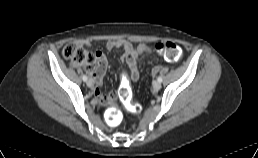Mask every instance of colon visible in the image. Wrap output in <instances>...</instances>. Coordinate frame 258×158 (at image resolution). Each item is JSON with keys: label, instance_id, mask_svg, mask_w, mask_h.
Returning a JSON list of instances; mask_svg holds the SVG:
<instances>
[{"label": "colon", "instance_id": "5ec220e1", "mask_svg": "<svg viewBox=\"0 0 258 158\" xmlns=\"http://www.w3.org/2000/svg\"><path fill=\"white\" fill-rule=\"evenodd\" d=\"M156 52L169 62H177L182 56L180 46L173 41L158 42L154 46ZM63 56L73 65L92 64L96 61L94 54L85 50L81 45L70 42L62 50ZM119 96L127 110L132 113H140L142 107L140 104L132 102V93L130 83L125 78L119 89ZM107 121L110 125H117L121 121V113L117 107L111 106L107 113Z\"/></svg>", "mask_w": 258, "mask_h": 158}]
</instances>
